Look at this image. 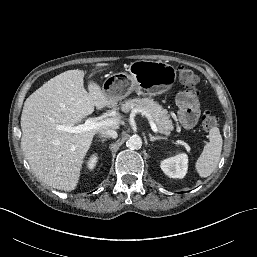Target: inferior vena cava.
Here are the masks:
<instances>
[{
	"mask_svg": "<svg viewBox=\"0 0 257 257\" xmlns=\"http://www.w3.org/2000/svg\"><path fill=\"white\" fill-rule=\"evenodd\" d=\"M101 136H105L108 138H113L116 139L117 138V132L113 129H108V130H103L100 132Z\"/></svg>",
	"mask_w": 257,
	"mask_h": 257,
	"instance_id": "obj_1",
	"label": "inferior vena cava"
}]
</instances>
